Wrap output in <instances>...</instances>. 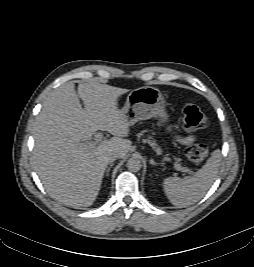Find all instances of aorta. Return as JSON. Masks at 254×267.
Instances as JSON below:
<instances>
[{"mask_svg": "<svg viewBox=\"0 0 254 267\" xmlns=\"http://www.w3.org/2000/svg\"><path fill=\"white\" fill-rule=\"evenodd\" d=\"M126 165H127L128 170L131 172H138L142 167L140 159L136 157H131L127 161Z\"/></svg>", "mask_w": 254, "mask_h": 267, "instance_id": "aorta-1", "label": "aorta"}]
</instances>
